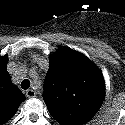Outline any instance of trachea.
<instances>
[{
	"label": "trachea",
	"instance_id": "1",
	"mask_svg": "<svg viewBox=\"0 0 125 125\" xmlns=\"http://www.w3.org/2000/svg\"><path fill=\"white\" fill-rule=\"evenodd\" d=\"M30 87V81L28 79H25L21 83V88L22 89H28Z\"/></svg>",
	"mask_w": 125,
	"mask_h": 125
}]
</instances>
